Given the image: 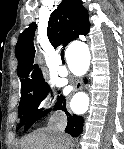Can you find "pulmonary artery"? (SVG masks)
Masks as SVG:
<instances>
[{
	"label": "pulmonary artery",
	"instance_id": "obj_1",
	"mask_svg": "<svg viewBox=\"0 0 124 149\" xmlns=\"http://www.w3.org/2000/svg\"><path fill=\"white\" fill-rule=\"evenodd\" d=\"M58 72L62 76H65L68 73V71H67V69L65 67L64 68H60Z\"/></svg>",
	"mask_w": 124,
	"mask_h": 149
}]
</instances>
